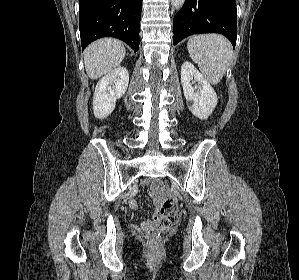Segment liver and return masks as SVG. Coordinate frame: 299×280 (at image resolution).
I'll use <instances>...</instances> for the list:
<instances>
[{
    "label": "liver",
    "instance_id": "1",
    "mask_svg": "<svg viewBox=\"0 0 299 280\" xmlns=\"http://www.w3.org/2000/svg\"><path fill=\"white\" fill-rule=\"evenodd\" d=\"M126 55L124 45L111 38L93 42L84 51V64L88 76L97 79L120 65Z\"/></svg>",
    "mask_w": 299,
    "mask_h": 280
}]
</instances>
